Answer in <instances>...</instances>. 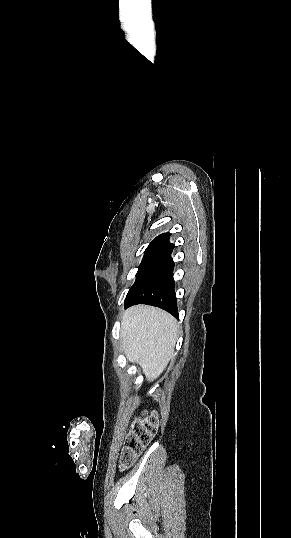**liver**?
<instances>
[{"label":"liver","instance_id":"1","mask_svg":"<svg viewBox=\"0 0 291 538\" xmlns=\"http://www.w3.org/2000/svg\"><path fill=\"white\" fill-rule=\"evenodd\" d=\"M178 331L177 320L169 313L151 306H133L122 316L123 351L129 361L142 368L147 380L153 381L173 357Z\"/></svg>","mask_w":291,"mask_h":538}]
</instances>
